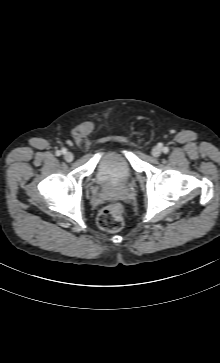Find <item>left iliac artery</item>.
Wrapping results in <instances>:
<instances>
[{"mask_svg":"<svg viewBox=\"0 0 220 363\" xmlns=\"http://www.w3.org/2000/svg\"><path fill=\"white\" fill-rule=\"evenodd\" d=\"M168 151H169V149H168L167 147H164V148H163V152H164V153H167Z\"/></svg>","mask_w":220,"mask_h":363,"instance_id":"obj_1","label":"left iliac artery"}]
</instances>
